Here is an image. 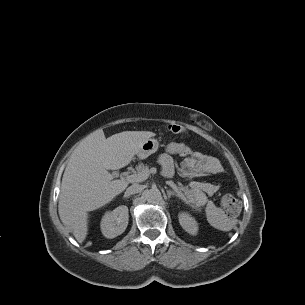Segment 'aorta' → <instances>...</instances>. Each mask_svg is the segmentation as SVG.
<instances>
[{
  "label": "aorta",
  "instance_id": "762f6f07",
  "mask_svg": "<svg viewBox=\"0 0 305 305\" xmlns=\"http://www.w3.org/2000/svg\"><path fill=\"white\" fill-rule=\"evenodd\" d=\"M145 198L149 203H158L161 201L162 195L158 189L152 188V189L146 190Z\"/></svg>",
  "mask_w": 305,
  "mask_h": 305
}]
</instances>
